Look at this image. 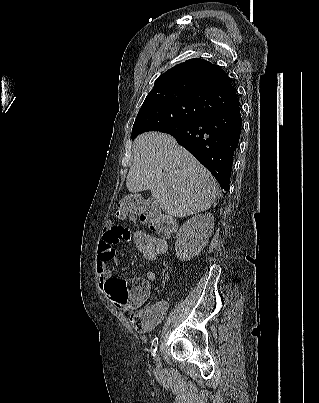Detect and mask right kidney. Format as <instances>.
<instances>
[{
    "instance_id": "ca27d5eb",
    "label": "right kidney",
    "mask_w": 319,
    "mask_h": 403,
    "mask_svg": "<svg viewBox=\"0 0 319 403\" xmlns=\"http://www.w3.org/2000/svg\"><path fill=\"white\" fill-rule=\"evenodd\" d=\"M213 229L214 217L211 213L199 214L187 220L177 233V258L188 261L197 256L207 245Z\"/></svg>"
}]
</instances>
